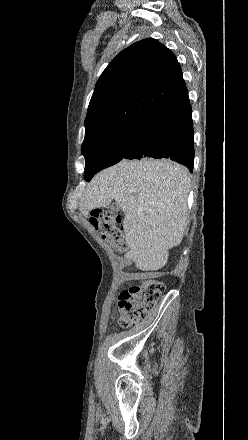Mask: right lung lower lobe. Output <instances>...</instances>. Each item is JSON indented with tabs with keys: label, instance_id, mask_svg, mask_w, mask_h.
<instances>
[{
	"label": "right lung lower lobe",
	"instance_id": "obj_1",
	"mask_svg": "<svg viewBox=\"0 0 248 440\" xmlns=\"http://www.w3.org/2000/svg\"><path fill=\"white\" fill-rule=\"evenodd\" d=\"M188 93L149 112L128 128L130 142L123 159L169 158L194 163L193 126Z\"/></svg>",
	"mask_w": 248,
	"mask_h": 440
}]
</instances>
